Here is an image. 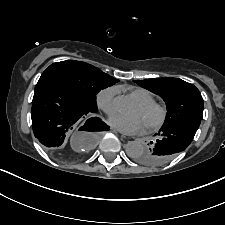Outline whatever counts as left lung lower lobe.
<instances>
[{"instance_id": "1", "label": "left lung lower lobe", "mask_w": 225, "mask_h": 225, "mask_svg": "<svg viewBox=\"0 0 225 225\" xmlns=\"http://www.w3.org/2000/svg\"><path fill=\"white\" fill-rule=\"evenodd\" d=\"M201 119H186L166 128H161L158 139L149 149L145 165L160 166L184 151L192 142ZM152 144V143H151Z\"/></svg>"}]
</instances>
